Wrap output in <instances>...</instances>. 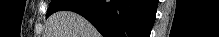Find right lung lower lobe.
<instances>
[{"label":"right lung lower lobe","mask_w":219,"mask_h":37,"mask_svg":"<svg viewBox=\"0 0 219 37\" xmlns=\"http://www.w3.org/2000/svg\"><path fill=\"white\" fill-rule=\"evenodd\" d=\"M157 0H75L61 10L86 18L104 37H149Z\"/></svg>","instance_id":"obj_1"}]
</instances>
